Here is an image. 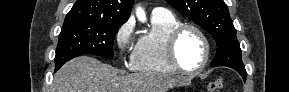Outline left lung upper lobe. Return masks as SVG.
<instances>
[{"label": "left lung upper lobe", "mask_w": 289, "mask_h": 92, "mask_svg": "<svg viewBox=\"0 0 289 92\" xmlns=\"http://www.w3.org/2000/svg\"><path fill=\"white\" fill-rule=\"evenodd\" d=\"M184 16L208 31L217 43L211 67L244 69L236 29L223 0H166Z\"/></svg>", "instance_id": "1"}]
</instances>
